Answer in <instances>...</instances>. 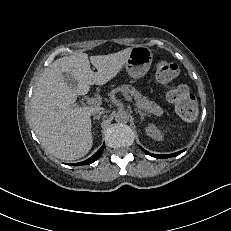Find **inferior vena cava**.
<instances>
[{
    "label": "inferior vena cava",
    "mask_w": 231,
    "mask_h": 231,
    "mask_svg": "<svg viewBox=\"0 0 231 231\" xmlns=\"http://www.w3.org/2000/svg\"><path fill=\"white\" fill-rule=\"evenodd\" d=\"M105 111L103 108L94 109L92 114H103Z\"/></svg>",
    "instance_id": "inferior-vena-cava-1"
}]
</instances>
